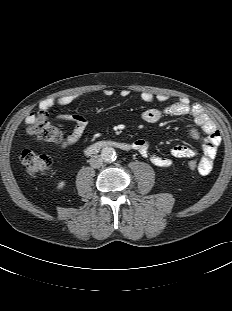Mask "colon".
Returning a JSON list of instances; mask_svg holds the SVG:
<instances>
[{
    "label": "colon",
    "instance_id": "5ec220e1",
    "mask_svg": "<svg viewBox=\"0 0 232 311\" xmlns=\"http://www.w3.org/2000/svg\"><path fill=\"white\" fill-rule=\"evenodd\" d=\"M28 130L40 143H59L61 141L60 132L45 120L43 114L38 116L35 123ZM21 162L30 177H36L45 173L52 167V161L48 156L38 154L29 149L22 152ZM187 165L192 170L199 167L198 161L193 158L188 160Z\"/></svg>",
    "mask_w": 232,
    "mask_h": 311
}]
</instances>
